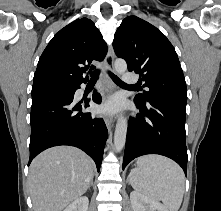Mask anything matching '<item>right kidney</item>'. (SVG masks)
Segmentation results:
<instances>
[{
    "label": "right kidney",
    "instance_id": "right-kidney-1",
    "mask_svg": "<svg viewBox=\"0 0 221 211\" xmlns=\"http://www.w3.org/2000/svg\"><path fill=\"white\" fill-rule=\"evenodd\" d=\"M88 197L82 196L74 200L64 211H88Z\"/></svg>",
    "mask_w": 221,
    "mask_h": 211
}]
</instances>
